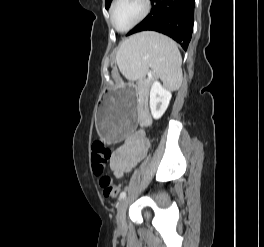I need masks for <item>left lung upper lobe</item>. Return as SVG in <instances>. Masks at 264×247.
Returning <instances> with one entry per match:
<instances>
[{
    "mask_svg": "<svg viewBox=\"0 0 264 247\" xmlns=\"http://www.w3.org/2000/svg\"><path fill=\"white\" fill-rule=\"evenodd\" d=\"M111 1L112 0H106V2H105L106 9L109 8Z\"/></svg>",
    "mask_w": 264,
    "mask_h": 247,
    "instance_id": "1",
    "label": "left lung upper lobe"
}]
</instances>
